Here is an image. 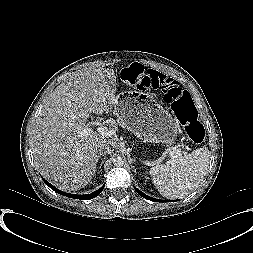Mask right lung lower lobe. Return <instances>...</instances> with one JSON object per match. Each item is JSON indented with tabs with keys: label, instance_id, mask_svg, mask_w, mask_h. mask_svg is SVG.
<instances>
[{
	"label": "right lung lower lobe",
	"instance_id": "obj_1",
	"mask_svg": "<svg viewBox=\"0 0 253 253\" xmlns=\"http://www.w3.org/2000/svg\"><path fill=\"white\" fill-rule=\"evenodd\" d=\"M43 181L45 182V184H47L52 190H54L55 192L61 194V195H64V196H67V197H70V198H76V199H81V200H89V199H92L96 196H98L103 188H104V185L99 188L97 191H94L93 193L91 194H87V195H76V194H69V193H65L63 191H60L59 189L55 188L53 185H51L49 182H47L44 178H42Z\"/></svg>",
	"mask_w": 253,
	"mask_h": 253
}]
</instances>
